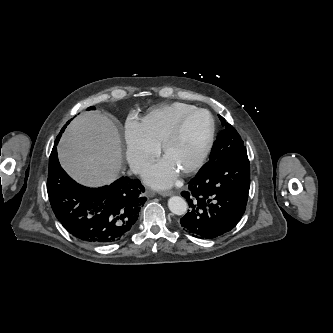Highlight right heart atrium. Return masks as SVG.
I'll return each instance as SVG.
<instances>
[{"label":"right heart atrium","mask_w":333,"mask_h":333,"mask_svg":"<svg viewBox=\"0 0 333 333\" xmlns=\"http://www.w3.org/2000/svg\"><path fill=\"white\" fill-rule=\"evenodd\" d=\"M125 157L135 173L142 172L158 155L159 147L146 135L142 123L129 117L124 125Z\"/></svg>","instance_id":"1"}]
</instances>
